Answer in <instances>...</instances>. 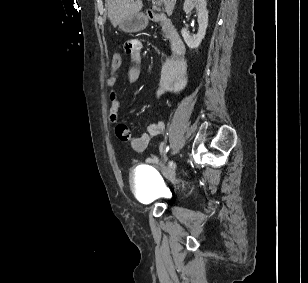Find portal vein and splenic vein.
<instances>
[{"label":"portal vein and splenic vein","instance_id":"18ae733b","mask_svg":"<svg viewBox=\"0 0 308 283\" xmlns=\"http://www.w3.org/2000/svg\"><path fill=\"white\" fill-rule=\"evenodd\" d=\"M152 3L156 6H160L162 4L161 0H152Z\"/></svg>","mask_w":308,"mask_h":283}]
</instances>
